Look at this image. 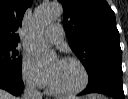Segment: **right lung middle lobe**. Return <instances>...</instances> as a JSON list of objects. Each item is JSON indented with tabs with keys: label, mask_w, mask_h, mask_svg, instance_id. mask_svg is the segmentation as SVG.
<instances>
[{
	"label": "right lung middle lobe",
	"mask_w": 128,
	"mask_h": 99,
	"mask_svg": "<svg viewBox=\"0 0 128 99\" xmlns=\"http://www.w3.org/2000/svg\"><path fill=\"white\" fill-rule=\"evenodd\" d=\"M17 45L0 44V74L21 78V58L18 57Z\"/></svg>",
	"instance_id": "dd1d6c3e"
}]
</instances>
